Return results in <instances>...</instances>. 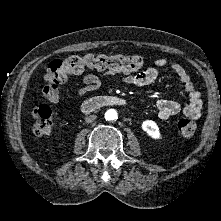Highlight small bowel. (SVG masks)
Returning a JSON list of instances; mask_svg holds the SVG:
<instances>
[{
    "label": "small bowel",
    "instance_id": "1",
    "mask_svg": "<svg viewBox=\"0 0 221 221\" xmlns=\"http://www.w3.org/2000/svg\"><path fill=\"white\" fill-rule=\"evenodd\" d=\"M168 68L182 83L183 91L188 97V104L181 108L180 104L172 100H159L156 103L157 115L160 119L166 120L182 112L185 116L197 119L201 115L203 103L200 92L195 88L191 78L185 68L178 63H169L165 58H157L154 62V67H149L146 70L125 74L120 78L123 84L134 86H146L153 83L158 75L159 69ZM112 73L106 72L102 75L94 73H85L82 76L84 85L77 91L78 96H84L90 91L100 88L110 77ZM47 98V97H46ZM51 103L59 102V96L55 99L47 98Z\"/></svg>",
    "mask_w": 221,
    "mask_h": 221
}]
</instances>
